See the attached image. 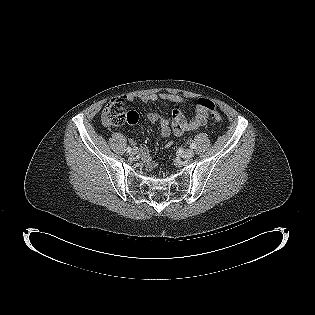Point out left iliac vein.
<instances>
[{"mask_svg":"<svg viewBox=\"0 0 315 315\" xmlns=\"http://www.w3.org/2000/svg\"><path fill=\"white\" fill-rule=\"evenodd\" d=\"M194 156V151L192 149H186L183 154H182V157L184 159H190Z\"/></svg>","mask_w":315,"mask_h":315,"instance_id":"4c4485c4","label":"left iliac vein"}]
</instances>
